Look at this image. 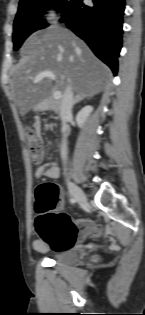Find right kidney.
<instances>
[{"mask_svg": "<svg viewBox=\"0 0 145 315\" xmlns=\"http://www.w3.org/2000/svg\"><path fill=\"white\" fill-rule=\"evenodd\" d=\"M92 111H93V107L90 105H87L78 112L76 116V122L79 127L84 126V123L86 122L87 118L89 117Z\"/></svg>", "mask_w": 145, "mask_h": 315, "instance_id": "1", "label": "right kidney"}]
</instances>
